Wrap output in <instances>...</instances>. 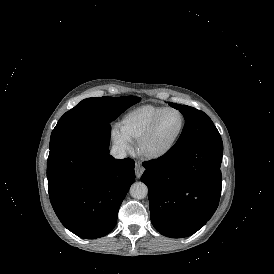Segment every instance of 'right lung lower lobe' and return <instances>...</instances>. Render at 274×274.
<instances>
[{
    "label": "right lung lower lobe",
    "instance_id": "98d812e1",
    "mask_svg": "<svg viewBox=\"0 0 274 274\" xmlns=\"http://www.w3.org/2000/svg\"><path fill=\"white\" fill-rule=\"evenodd\" d=\"M111 126L100 124L50 149L51 204L62 224L95 239L116 225L119 207L135 180L134 161L109 154Z\"/></svg>",
    "mask_w": 274,
    "mask_h": 274
}]
</instances>
